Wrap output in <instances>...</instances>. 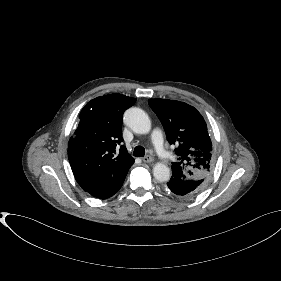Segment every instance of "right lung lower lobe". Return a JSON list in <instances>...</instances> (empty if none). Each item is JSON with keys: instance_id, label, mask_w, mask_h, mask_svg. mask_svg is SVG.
I'll list each match as a JSON object with an SVG mask.
<instances>
[{"instance_id": "1", "label": "right lung lower lobe", "mask_w": 281, "mask_h": 281, "mask_svg": "<svg viewBox=\"0 0 281 281\" xmlns=\"http://www.w3.org/2000/svg\"><path fill=\"white\" fill-rule=\"evenodd\" d=\"M121 186L112 195H114L121 188ZM112 195H110L109 197H111Z\"/></svg>"}]
</instances>
